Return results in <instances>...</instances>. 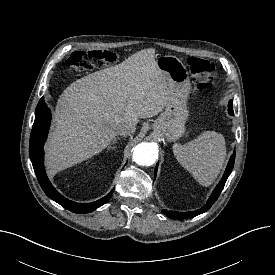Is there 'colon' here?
<instances>
[{
    "mask_svg": "<svg viewBox=\"0 0 275 275\" xmlns=\"http://www.w3.org/2000/svg\"><path fill=\"white\" fill-rule=\"evenodd\" d=\"M116 59L117 55L109 50L76 51L66 60L65 67L69 70L86 71L112 64ZM188 66L196 89L205 90L212 85L215 76V66L212 62L190 57Z\"/></svg>",
    "mask_w": 275,
    "mask_h": 275,
    "instance_id": "obj_1",
    "label": "colon"
}]
</instances>
